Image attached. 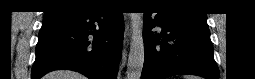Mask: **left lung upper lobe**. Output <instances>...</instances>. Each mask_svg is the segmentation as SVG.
Instances as JSON below:
<instances>
[{"instance_id":"5c2ea615","label":"left lung upper lobe","mask_w":255,"mask_h":79,"mask_svg":"<svg viewBox=\"0 0 255 79\" xmlns=\"http://www.w3.org/2000/svg\"><path fill=\"white\" fill-rule=\"evenodd\" d=\"M161 3V7L163 8H168V9H173V10H176L182 14H190V15H193V16H197V17H202V18H207L206 17V14H200V13H196V12H185V11H180L182 8L181 6L179 5L180 2L178 1H175V0H163V1H160Z\"/></svg>"}]
</instances>
